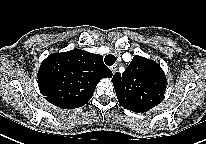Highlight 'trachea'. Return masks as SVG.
I'll return each instance as SVG.
<instances>
[{
  "label": "trachea",
  "mask_w": 206,
  "mask_h": 144,
  "mask_svg": "<svg viewBox=\"0 0 206 144\" xmlns=\"http://www.w3.org/2000/svg\"><path fill=\"white\" fill-rule=\"evenodd\" d=\"M104 61H105V63H106L108 66H111V65H113V64L115 63L116 58H115L114 55L109 54V55H107V56L104 58Z\"/></svg>",
  "instance_id": "obj_1"
}]
</instances>
